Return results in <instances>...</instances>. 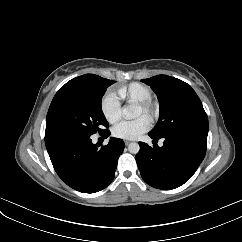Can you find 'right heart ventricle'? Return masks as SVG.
Here are the masks:
<instances>
[{
    "instance_id": "e07e8e85",
    "label": "right heart ventricle",
    "mask_w": 242,
    "mask_h": 242,
    "mask_svg": "<svg viewBox=\"0 0 242 242\" xmlns=\"http://www.w3.org/2000/svg\"><path fill=\"white\" fill-rule=\"evenodd\" d=\"M118 97L126 102L139 103L151 99V90L137 82L130 83L124 87H121L117 91Z\"/></svg>"
}]
</instances>
